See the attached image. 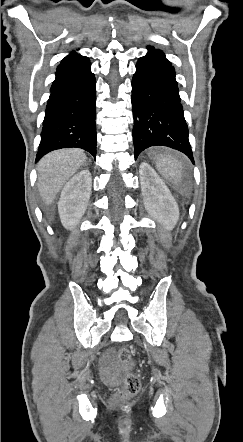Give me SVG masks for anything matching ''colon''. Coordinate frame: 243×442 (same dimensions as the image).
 <instances>
[{
	"mask_svg": "<svg viewBox=\"0 0 243 442\" xmlns=\"http://www.w3.org/2000/svg\"><path fill=\"white\" fill-rule=\"evenodd\" d=\"M132 358V352L129 348H122L117 354V370L120 371ZM123 386L117 391L115 398L117 400H126L138 393L141 387L139 377L132 373L123 374Z\"/></svg>",
	"mask_w": 243,
	"mask_h": 442,
	"instance_id": "5ec220e1",
	"label": "colon"
}]
</instances>
